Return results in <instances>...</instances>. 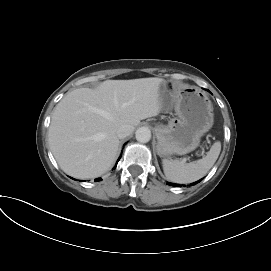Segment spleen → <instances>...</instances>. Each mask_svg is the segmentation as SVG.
Returning <instances> with one entry per match:
<instances>
[{"mask_svg": "<svg viewBox=\"0 0 271 271\" xmlns=\"http://www.w3.org/2000/svg\"><path fill=\"white\" fill-rule=\"evenodd\" d=\"M221 151V143L215 142L207 155L194 162L163 159L162 166L166 178L172 182L187 184L204 177L213 167Z\"/></svg>", "mask_w": 271, "mask_h": 271, "instance_id": "3e777b00", "label": "spleen"}]
</instances>
